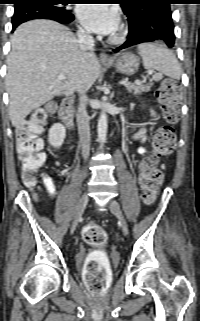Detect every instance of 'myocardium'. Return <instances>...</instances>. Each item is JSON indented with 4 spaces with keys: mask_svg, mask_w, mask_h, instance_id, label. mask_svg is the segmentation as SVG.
<instances>
[{
    "mask_svg": "<svg viewBox=\"0 0 200 321\" xmlns=\"http://www.w3.org/2000/svg\"><path fill=\"white\" fill-rule=\"evenodd\" d=\"M127 36V30L124 27H121L114 35H112L109 41L112 44H120L125 41Z\"/></svg>",
    "mask_w": 200,
    "mask_h": 321,
    "instance_id": "1",
    "label": "myocardium"
}]
</instances>
